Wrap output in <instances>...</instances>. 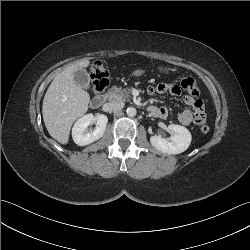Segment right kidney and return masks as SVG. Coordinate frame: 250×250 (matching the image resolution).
I'll use <instances>...</instances> for the list:
<instances>
[{"mask_svg": "<svg viewBox=\"0 0 250 250\" xmlns=\"http://www.w3.org/2000/svg\"><path fill=\"white\" fill-rule=\"evenodd\" d=\"M96 123V127L93 131H88L87 127L91 123ZM108 118L104 114L94 116L93 114H87L79 118L72 128V138L74 142L79 146L89 145L98 139H100L106 130Z\"/></svg>", "mask_w": 250, "mask_h": 250, "instance_id": "1", "label": "right kidney"}]
</instances>
